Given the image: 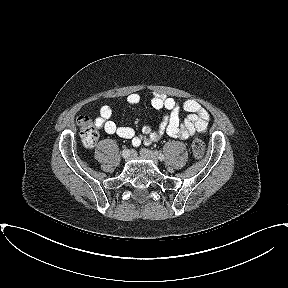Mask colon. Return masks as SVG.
Here are the masks:
<instances>
[{
    "label": "colon",
    "instance_id": "5ec220e1",
    "mask_svg": "<svg viewBox=\"0 0 288 288\" xmlns=\"http://www.w3.org/2000/svg\"><path fill=\"white\" fill-rule=\"evenodd\" d=\"M77 124L84 144L87 146L94 145L98 140L99 133L93 119L90 116L82 115L78 118ZM192 152L197 159H201L204 156L205 145L199 137H195L192 141Z\"/></svg>",
    "mask_w": 288,
    "mask_h": 288
}]
</instances>
